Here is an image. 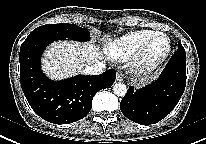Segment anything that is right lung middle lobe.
Masks as SVG:
<instances>
[{
  "label": "right lung middle lobe",
  "mask_w": 206,
  "mask_h": 144,
  "mask_svg": "<svg viewBox=\"0 0 206 144\" xmlns=\"http://www.w3.org/2000/svg\"><path fill=\"white\" fill-rule=\"evenodd\" d=\"M29 35H44L53 39H70L74 41H88L90 34L87 29L75 24H50L34 29Z\"/></svg>",
  "instance_id": "1"
}]
</instances>
